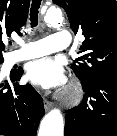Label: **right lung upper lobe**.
Segmentation results:
<instances>
[{
	"label": "right lung upper lobe",
	"instance_id": "obj_1",
	"mask_svg": "<svg viewBox=\"0 0 117 136\" xmlns=\"http://www.w3.org/2000/svg\"><path fill=\"white\" fill-rule=\"evenodd\" d=\"M29 3L30 0H0V59L5 50L2 36L20 33V27L26 23Z\"/></svg>",
	"mask_w": 117,
	"mask_h": 136
}]
</instances>
